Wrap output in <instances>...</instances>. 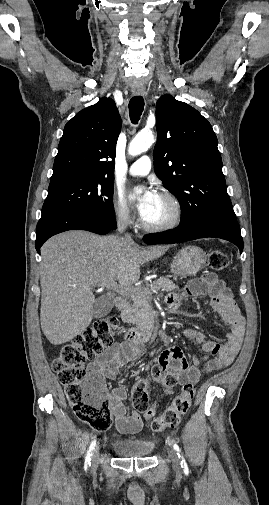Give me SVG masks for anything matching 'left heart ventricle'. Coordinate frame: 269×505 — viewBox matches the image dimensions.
<instances>
[{"label":"left heart ventricle","instance_id":"left-heart-ventricle-1","mask_svg":"<svg viewBox=\"0 0 269 505\" xmlns=\"http://www.w3.org/2000/svg\"><path fill=\"white\" fill-rule=\"evenodd\" d=\"M173 216V205L169 200L159 195L152 209L150 210L147 217L144 218V220L149 224L158 225L170 221Z\"/></svg>","mask_w":269,"mask_h":505}]
</instances>
